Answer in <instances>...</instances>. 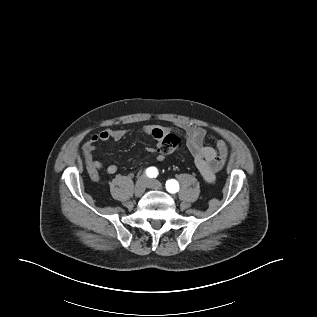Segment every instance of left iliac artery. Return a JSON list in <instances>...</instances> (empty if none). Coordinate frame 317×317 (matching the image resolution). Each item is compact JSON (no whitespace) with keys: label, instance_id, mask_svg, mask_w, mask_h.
<instances>
[{"label":"left iliac artery","instance_id":"obj_1","mask_svg":"<svg viewBox=\"0 0 317 317\" xmlns=\"http://www.w3.org/2000/svg\"><path fill=\"white\" fill-rule=\"evenodd\" d=\"M165 186L170 193H176L179 190V183L175 179L167 180Z\"/></svg>","mask_w":317,"mask_h":317}]
</instances>
